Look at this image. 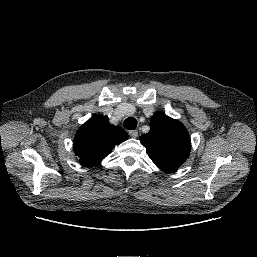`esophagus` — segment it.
Returning a JSON list of instances; mask_svg holds the SVG:
<instances>
[{"mask_svg":"<svg viewBox=\"0 0 257 257\" xmlns=\"http://www.w3.org/2000/svg\"><path fill=\"white\" fill-rule=\"evenodd\" d=\"M129 135L132 138H136L138 136V131L137 130H131V131H129Z\"/></svg>","mask_w":257,"mask_h":257,"instance_id":"obj_1","label":"esophagus"}]
</instances>
